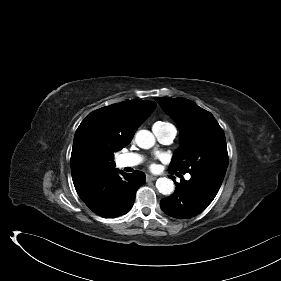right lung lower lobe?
Masks as SVG:
<instances>
[{"instance_id": "obj_1", "label": "right lung lower lobe", "mask_w": 281, "mask_h": 281, "mask_svg": "<svg viewBox=\"0 0 281 281\" xmlns=\"http://www.w3.org/2000/svg\"><path fill=\"white\" fill-rule=\"evenodd\" d=\"M144 183L145 174L143 172L135 171L126 174L113 169L93 179L77 190V193L94 213L104 218H114L131 209L136 191Z\"/></svg>"}]
</instances>
